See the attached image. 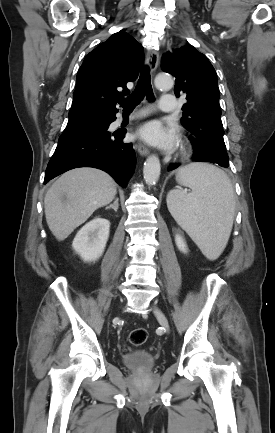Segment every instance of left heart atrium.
Masks as SVG:
<instances>
[{
    "label": "left heart atrium",
    "mask_w": 275,
    "mask_h": 433,
    "mask_svg": "<svg viewBox=\"0 0 275 433\" xmlns=\"http://www.w3.org/2000/svg\"><path fill=\"white\" fill-rule=\"evenodd\" d=\"M138 136L151 145L171 149L177 142V134L173 128H165L158 121L144 124L138 131Z\"/></svg>",
    "instance_id": "39dd6f15"
}]
</instances>
